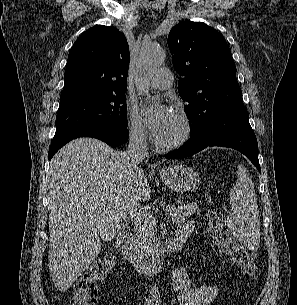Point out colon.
<instances>
[{"instance_id": "obj_1", "label": "colon", "mask_w": 297, "mask_h": 305, "mask_svg": "<svg viewBox=\"0 0 297 305\" xmlns=\"http://www.w3.org/2000/svg\"><path fill=\"white\" fill-rule=\"evenodd\" d=\"M208 233L220 252L236 264L243 275L256 278L258 267L255 255L244 247L228 230L225 215L221 210L213 209L208 214ZM117 254L106 251L89 269L77 278L69 305H94L96 302V282L102 280L116 265Z\"/></svg>"}]
</instances>
